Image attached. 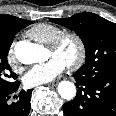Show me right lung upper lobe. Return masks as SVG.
<instances>
[{"label": "right lung upper lobe", "instance_id": "1", "mask_svg": "<svg viewBox=\"0 0 116 116\" xmlns=\"http://www.w3.org/2000/svg\"><path fill=\"white\" fill-rule=\"evenodd\" d=\"M26 21L8 14H0V30H11Z\"/></svg>", "mask_w": 116, "mask_h": 116}]
</instances>
